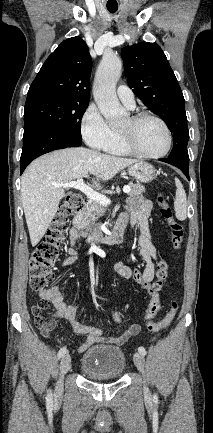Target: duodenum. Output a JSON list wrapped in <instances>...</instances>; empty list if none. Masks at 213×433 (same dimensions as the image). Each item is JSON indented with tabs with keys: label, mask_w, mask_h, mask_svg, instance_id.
Returning <instances> with one entry per match:
<instances>
[{
	"label": "duodenum",
	"mask_w": 213,
	"mask_h": 433,
	"mask_svg": "<svg viewBox=\"0 0 213 433\" xmlns=\"http://www.w3.org/2000/svg\"><path fill=\"white\" fill-rule=\"evenodd\" d=\"M85 205H86V200L84 201L83 207L81 208V210L78 212V214L76 215V217L74 219V227L77 228L78 230L80 229V216H79V214L85 208ZM125 233H126V227L125 226H117L115 228V230L107 236H100L98 234H90V235L85 236V238H86V241L88 243H105V244H109V245H115V244H119L123 241V239L125 238Z\"/></svg>",
	"instance_id": "1"
}]
</instances>
